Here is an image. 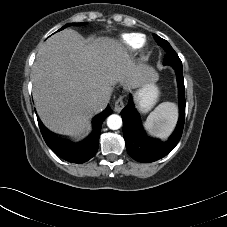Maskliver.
Listing matches in <instances>:
<instances>
[{
    "mask_svg": "<svg viewBox=\"0 0 227 227\" xmlns=\"http://www.w3.org/2000/svg\"><path fill=\"white\" fill-rule=\"evenodd\" d=\"M156 76L117 40L98 38L86 44L76 31L66 29L48 38L36 55L33 99L48 129L81 138L90 130L91 117L105 108L114 85L136 88ZM95 94L104 97L102 103H94Z\"/></svg>",
    "mask_w": 227,
    "mask_h": 227,
    "instance_id": "obj_1",
    "label": "liver"
}]
</instances>
